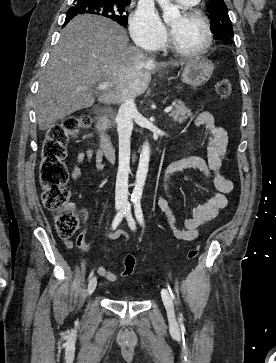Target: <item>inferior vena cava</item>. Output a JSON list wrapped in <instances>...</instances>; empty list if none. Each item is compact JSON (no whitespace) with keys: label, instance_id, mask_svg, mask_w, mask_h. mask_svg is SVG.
I'll use <instances>...</instances> for the list:
<instances>
[{"label":"inferior vena cava","instance_id":"1","mask_svg":"<svg viewBox=\"0 0 276 363\" xmlns=\"http://www.w3.org/2000/svg\"><path fill=\"white\" fill-rule=\"evenodd\" d=\"M149 63H153L149 60ZM137 108L133 97H128L121 104L116 117L119 136V167L116 178L115 204L125 206L128 203V174L130 171V137L133 117Z\"/></svg>","mask_w":276,"mask_h":363}]
</instances>
